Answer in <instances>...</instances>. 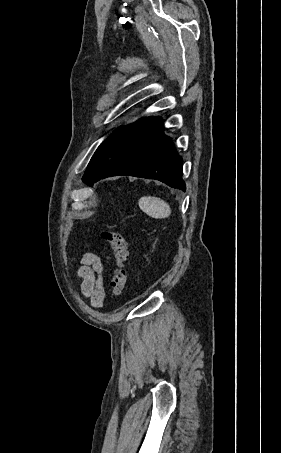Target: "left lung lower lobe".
<instances>
[{"instance_id":"0a47b994","label":"left lung lower lobe","mask_w":281,"mask_h":453,"mask_svg":"<svg viewBox=\"0 0 281 453\" xmlns=\"http://www.w3.org/2000/svg\"><path fill=\"white\" fill-rule=\"evenodd\" d=\"M162 130L159 117L143 118L119 127L91 159L82 180L92 186L102 178L131 175L157 179L185 190L182 158Z\"/></svg>"}]
</instances>
